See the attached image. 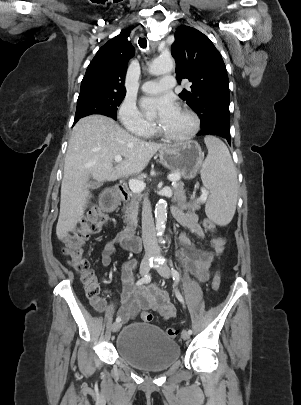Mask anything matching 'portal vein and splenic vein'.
<instances>
[{"mask_svg":"<svg viewBox=\"0 0 301 405\" xmlns=\"http://www.w3.org/2000/svg\"><path fill=\"white\" fill-rule=\"evenodd\" d=\"M114 160H115L116 163H119V162L122 161V156L116 155V156L114 157ZM168 179H169L170 181H172V182H175V181H177V180L180 179V175H179L178 173L172 174V175H169V176H168ZM128 184H129L130 190H131L132 192H134V193H140V192H142V191L145 189V187H146V184H145L143 181L135 180V179H130ZM207 196H208V193L206 192V190H203L201 196H200L199 199H198V201H199V202H205L206 199H207Z\"/></svg>","mask_w":301,"mask_h":405,"instance_id":"1","label":"portal vein and splenic vein"}]
</instances>
